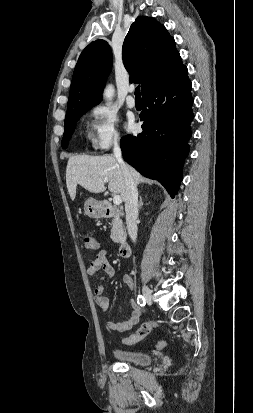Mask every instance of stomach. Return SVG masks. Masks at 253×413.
<instances>
[{"label":"stomach","mask_w":253,"mask_h":413,"mask_svg":"<svg viewBox=\"0 0 253 413\" xmlns=\"http://www.w3.org/2000/svg\"><path fill=\"white\" fill-rule=\"evenodd\" d=\"M84 211L91 218H100L104 214V207L96 199L89 198L84 204Z\"/></svg>","instance_id":"stomach-1"}]
</instances>
